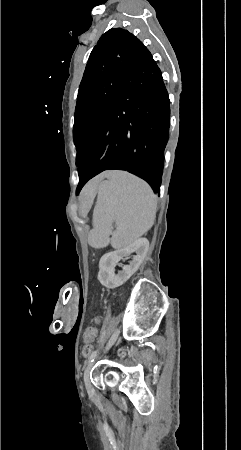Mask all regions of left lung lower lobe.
I'll return each mask as SVG.
<instances>
[{
  "label": "left lung lower lobe",
  "mask_w": 241,
  "mask_h": 450,
  "mask_svg": "<svg viewBox=\"0 0 241 450\" xmlns=\"http://www.w3.org/2000/svg\"><path fill=\"white\" fill-rule=\"evenodd\" d=\"M118 101L89 135L80 155L77 192L104 170H127L159 191L170 125L169 97L151 53L139 41Z\"/></svg>",
  "instance_id": "left-lung-lower-lobe-1"
}]
</instances>
